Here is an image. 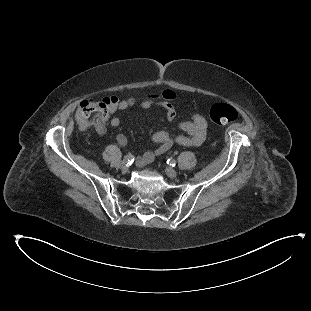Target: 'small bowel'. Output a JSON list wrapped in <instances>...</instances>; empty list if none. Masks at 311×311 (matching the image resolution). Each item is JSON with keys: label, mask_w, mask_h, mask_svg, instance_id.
Instances as JSON below:
<instances>
[{"label": "small bowel", "mask_w": 311, "mask_h": 311, "mask_svg": "<svg viewBox=\"0 0 311 311\" xmlns=\"http://www.w3.org/2000/svg\"><path fill=\"white\" fill-rule=\"evenodd\" d=\"M108 98H105V103L108 107L107 101ZM128 104L125 110L133 107L139 106L141 108H152L159 107L162 108L169 119L176 117L177 111L175 107L167 101H154L151 99H136V98H127ZM108 113L113 114L115 112L111 111L108 107ZM109 124L111 127H118L121 124V119L117 116H114L110 119ZM179 129L185 134H170L164 131L155 132L152 135V140L158 143V147L153 150L146 151L137 161L139 166H146L150 164L157 156L167 152L173 145L178 144L181 146H200L206 138L207 134V122L205 118L200 114H193L190 120L183 121L179 123ZM96 131L99 134L106 133V125L103 122H100L96 125ZM117 141L120 145H125L127 140L123 134L117 136Z\"/></svg>", "instance_id": "obj_1"}]
</instances>
